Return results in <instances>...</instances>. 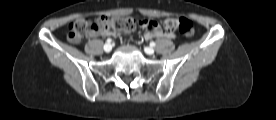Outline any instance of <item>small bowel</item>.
I'll list each match as a JSON object with an SVG mask.
<instances>
[{
    "label": "small bowel",
    "mask_w": 276,
    "mask_h": 120,
    "mask_svg": "<svg viewBox=\"0 0 276 120\" xmlns=\"http://www.w3.org/2000/svg\"><path fill=\"white\" fill-rule=\"evenodd\" d=\"M146 23L147 21H143L142 22V27L146 28ZM154 24V30H149L146 28V31L144 33V38L147 40L153 39V38H168V39H173L175 37V35L173 33H167L165 31H163L160 26L158 25V23L153 22ZM104 36H110V35H115V34H110V33H101Z\"/></svg>",
    "instance_id": "small-bowel-1"
}]
</instances>
